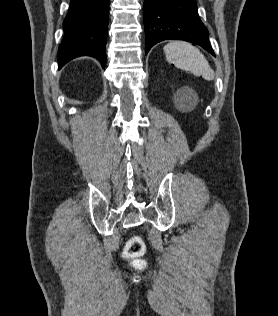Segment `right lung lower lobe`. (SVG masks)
<instances>
[{"label":"right lung lower lobe","instance_id":"obj_1","mask_svg":"<svg viewBox=\"0 0 278 316\" xmlns=\"http://www.w3.org/2000/svg\"><path fill=\"white\" fill-rule=\"evenodd\" d=\"M108 0H71L63 22L64 38L59 46V69L79 56H91L105 66Z\"/></svg>","mask_w":278,"mask_h":316}]
</instances>
